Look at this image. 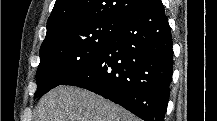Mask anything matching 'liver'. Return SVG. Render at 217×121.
<instances>
[{"label":"liver","instance_id":"1","mask_svg":"<svg viewBox=\"0 0 217 121\" xmlns=\"http://www.w3.org/2000/svg\"><path fill=\"white\" fill-rule=\"evenodd\" d=\"M34 121H138V118L86 89L58 86L40 99Z\"/></svg>","mask_w":217,"mask_h":121}]
</instances>
